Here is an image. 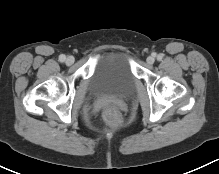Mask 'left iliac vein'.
I'll return each mask as SVG.
<instances>
[{"instance_id":"4c4485c4","label":"left iliac vein","mask_w":219,"mask_h":174,"mask_svg":"<svg viewBox=\"0 0 219 174\" xmlns=\"http://www.w3.org/2000/svg\"><path fill=\"white\" fill-rule=\"evenodd\" d=\"M146 61L149 65H152L155 62V58L153 56H149Z\"/></svg>"}]
</instances>
